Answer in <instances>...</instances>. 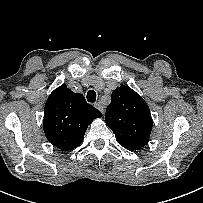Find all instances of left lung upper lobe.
Instances as JSON below:
<instances>
[{
  "mask_svg": "<svg viewBox=\"0 0 203 203\" xmlns=\"http://www.w3.org/2000/svg\"><path fill=\"white\" fill-rule=\"evenodd\" d=\"M105 122L117 141L133 151L148 143L153 124L147 103L128 86H120L113 91Z\"/></svg>",
  "mask_w": 203,
  "mask_h": 203,
  "instance_id": "left-lung-upper-lobe-1",
  "label": "left lung upper lobe"
}]
</instances>
